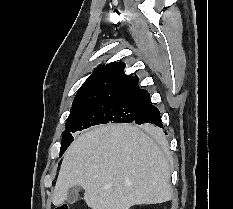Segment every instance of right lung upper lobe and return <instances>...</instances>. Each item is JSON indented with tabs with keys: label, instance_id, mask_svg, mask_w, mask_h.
<instances>
[{
	"label": "right lung upper lobe",
	"instance_id": "1",
	"mask_svg": "<svg viewBox=\"0 0 233 209\" xmlns=\"http://www.w3.org/2000/svg\"><path fill=\"white\" fill-rule=\"evenodd\" d=\"M124 68L125 64L120 62L97 67L79 88L71 109L104 101L148 105L149 93L140 89L138 77L127 76Z\"/></svg>",
	"mask_w": 233,
	"mask_h": 209
}]
</instances>
